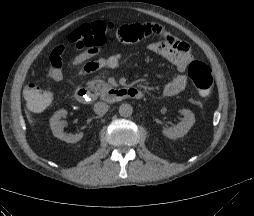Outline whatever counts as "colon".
Instances as JSON below:
<instances>
[{
    "instance_id": "obj_1",
    "label": "colon",
    "mask_w": 254,
    "mask_h": 216,
    "mask_svg": "<svg viewBox=\"0 0 254 216\" xmlns=\"http://www.w3.org/2000/svg\"><path fill=\"white\" fill-rule=\"evenodd\" d=\"M115 26L111 23L93 22L76 29L69 37V42L77 49H103L113 40ZM123 42V41H122ZM188 75L201 96H208L213 87L212 69L200 61H192L188 67ZM24 98L28 107L34 112H42L51 103L52 95L37 84H30L24 90Z\"/></svg>"
}]
</instances>
